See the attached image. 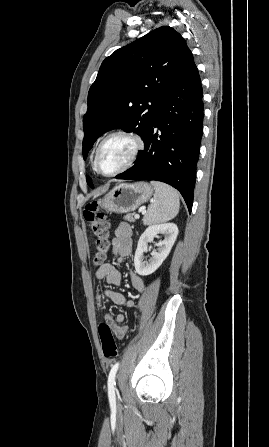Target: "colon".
Returning <instances> with one entry per match:
<instances>
[{
    "instance_id": "5ec220e1",
    "label": "colon",
    "mask_w": 269,
    "mask_h": 447,
    "mask_svg": "<svg viewBox=\"0 0 269 447\" xmlns=\"http://www.w3.org/2000/svg\"><path fill=\"white\" fill-rule=\"evenodd\" d=\"M82 216L90 232L94 235V253L92 263L100 265L107 260L111 248V225L97 204L88 205ZM101 341L102 352L107 358H115L119 354L118 346L114 340L113 330L108 322H100L97 328Z\"/></svg>"
}]
</instances>
